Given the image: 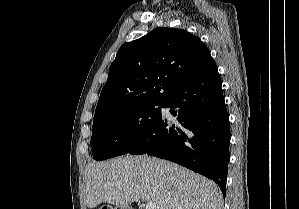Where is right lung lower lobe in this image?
I'll return each mask as SVG.
<instances>
[{
  "mask_svg": "<svg viewBox=\"0 0 299 209\" xmlns=\"http://www.w3.org/2000/svg\"><path fill=\"white\" fill-rule=\"evenodd\" d=\"M163 107L170 108L175 121L161 116L127 153L176 162L214 180L225 196L231 136L218 69L186 78Z\"/></svg>",
  "mask_w": 299,
  "mask_h": 209,
  "instance_id": "98d812e1",
  "label": "right lung lower lobe"
}]
</instances>
